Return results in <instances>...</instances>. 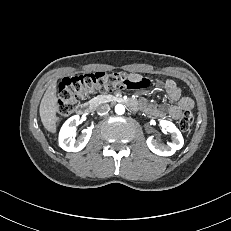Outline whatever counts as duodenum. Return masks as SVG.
Instances as JSON below:
<instances>
[{
    "label": "duodenum",
    "instance_id": "obj_1",
    "mask_svg": "<svg viewBox=\"0 0 231 231\" xmlns=\"http://www.w3.org/2000/svg\"><path fill=\"white\" fill-rule=\"evenodd\" d=\"M115 100H117L119 102H125L132 109L138 108V105L132 99H124L123 97L119 96V97H115ZM92 109H93V106L91 104H81L77 107L76 113L78 115H86V114L90 113L92 111Z\"/></svg>",
    "mask_w": 231,
    "mask_h": 231
}]
</instances>
